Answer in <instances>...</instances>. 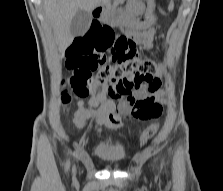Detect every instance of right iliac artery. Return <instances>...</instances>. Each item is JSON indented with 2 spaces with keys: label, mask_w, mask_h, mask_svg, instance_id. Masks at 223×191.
I'll use <instances>...</instances> for the list:
<instances>
[{
  "label": "right iliac artery",
  "mask_w": 223,
  "mask_h": 191,
  "mask_svg": "<svg viewBox=\"0 0 223 191\" xmlns=\"http://www.w3.org/2000/svg\"><path fill=\"white\" fill-rule=\"evenodd\" d=\"M69 160L67 161V163H66V170H68V167H69Z\"/></svg>",
  "instance_id": "82829eb1"
}]
</instances>
